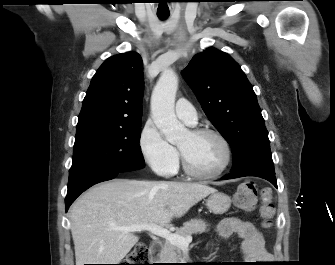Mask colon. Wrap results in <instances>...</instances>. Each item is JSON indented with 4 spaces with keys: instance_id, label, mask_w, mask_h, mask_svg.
<instances>
[{
    "instance_id": "1",
    "label": "colon",
    "mask_w": 335,
    "mask_h": 265,
    "mask_svg": "<svg viewBox=\"0 0 335 265\" xmlns=\"http://www.w3.org/2000/svg\"><path fill=\"white\" fill-rule=\"evenodd\" d=\"M260 197L259 215L262 220V226L267 228L270 226V220L274 216L275 208L272 203L271 193L269 189H258L253 181H245L241 183L234 195L235 205L245 211L253 210ZM150 249L144 244L136 245L128 254L125 264L121 265H149Z\"/></svg>"
}]
</instances>
